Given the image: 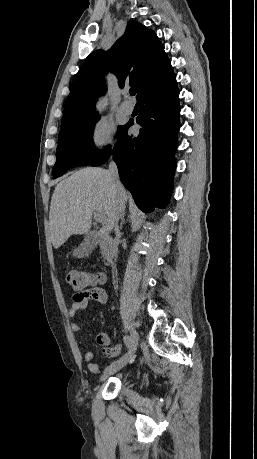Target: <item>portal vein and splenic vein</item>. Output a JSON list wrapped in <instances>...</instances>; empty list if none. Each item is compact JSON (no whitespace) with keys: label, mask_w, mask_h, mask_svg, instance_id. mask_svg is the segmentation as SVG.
<instances>
[{"label":"portal vein and splenic vein","mask_w":257,"mask_h":459,"mask_svg":"<svg viewBox=\"0 0 257 459\" xmlns=\"http://www.w3.org/2000/svg\"><path fill=\"white\" fill-rule=\"evenodd\" d=\"M94 218H95V220L97 222H100V223L103 222V217L100 214L96 213V212H94Z\"/></svg>","instance_id":"1"}]
</instances>
